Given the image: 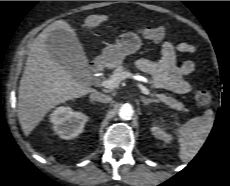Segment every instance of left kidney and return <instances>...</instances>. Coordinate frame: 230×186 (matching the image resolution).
<instances>
[{
  "mask_svg": "<svg viewBox=\"0 0 230 186\" xmlns=\"http://www.w3.org/2000/svg\"><path fill=\"white\" fill-rule=\"evenodd\" d=\"M151 132L156 138L163 140L166 143H169L172 140V137L158 126H153Z\"/></svg>",
  "mask_w": 230,
  "mask_h": 186,
  "instance_id": "1",
  "label": "left kidney"
}]
</instances>
